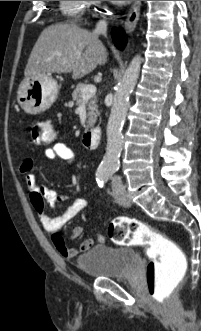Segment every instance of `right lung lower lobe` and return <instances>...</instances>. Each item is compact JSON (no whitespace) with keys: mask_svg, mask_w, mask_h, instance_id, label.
Returning a JSON list of instances; mask_svg holds the SVG:
<instances>
[{"mask_svg":"<svg viewBox=\"0 0 201 331\" xmlns=\"http://www.w3.org/2000/svg\"><path fill=\"white\" fill-rule=\"evenodd\" d=\"M111 34H112V39H113L115 45L119 49H123V47L126 44V41H125L126 36H125L123 30L120 28H113Z\"/></svg>","mask_w":201,"mask_h":331,"instance_id":"98d812e1","label":"right lung lower lobe"}]
</instances>
